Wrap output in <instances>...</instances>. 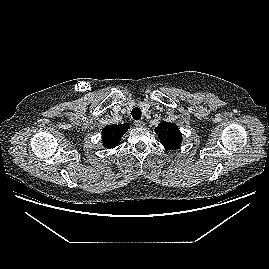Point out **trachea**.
I'll use <instances>...</instances> for the list:
<instances>
[{
	"instance_id": "trachea-1",
	"label": "trachea",
	"mask_w": 269,
	"mask_h": 269,
	"mask_svg": "<svg viewBox=\"0 0 269 269\" xmlns=\"http://www.w3.org/2000/svg\"><path fill=\"white\" fill-rule=\"evenodd\" d=\"M131 115L133 119L139 120L141 118L142 112L138 107L133 108Z\"/></svg>"
}]
</instances>
